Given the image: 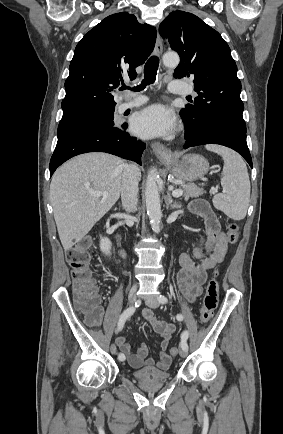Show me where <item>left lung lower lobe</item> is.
Returning <instances> with one entry per match:
<instances>
[{
    "mask_svg": "<svg viewBox=\"0 0 283 434\" xmlns=\"http://www.w3.org/2000/svg\"><path fill=\"white\" fill-rule=\"evenodd\" d=\"M184 149L204 145L218 144L238 152L252 168V159L246 143V132L229 126H214L193 136L185 134Z\"/></svg>",
    "mask_w": 283,
    "mask_h": 434,
    "instance_id": "0a47b994",
    "label": "left lung lower lobe"
}]
</instances>
